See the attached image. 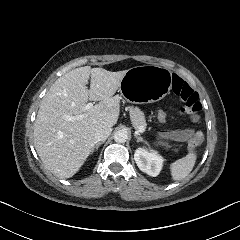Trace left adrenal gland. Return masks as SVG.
Here are the masks:
<instances>
[{"instance_id": "a2214340", "label": "left adrenal gland", "mask_w": 240, "mask_h": 240, "mask_svg": "<svg viewBox=\"0 0 240 240\" xmlns=\"http://www.w3.org/2000/svg\"><path fill=\"white\" fill-rule=\"evenodd\" d=\"M134 137L137 139V141H144L147 145H149L148 141L144 139L142 136L134 134Z\"/></svg>"}]
</instances>
